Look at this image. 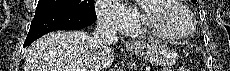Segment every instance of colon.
I'll return each mask as SVG.
<instances>
[{
	"instance_id": "colon-1",
	"label": "colon",
	"mask_w": 230,
	"mask_h": 71,
	"mask_svg": "<svg viewBox=\"0 0 230 71\" xmlns=\"http://www.w3.org/2000/svg\"><path fill=\"white\" fill-rule=\"evenodd\" d=\"M182 71H190V69H182Z\"/></svg>"
}]
</instances>
